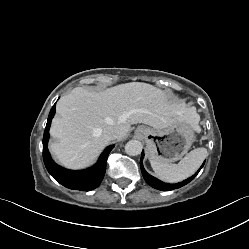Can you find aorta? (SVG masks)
<instances>
[{"instance_id":"obj_1","label":"aorta","mask_w":249,"mask_h":249,"mask_svg":"<svg viewBox=\"0 0 249 249\" xmlns=\"http://www.w3.org/2000/svg\"><path fill=\"white\" fill-rule=\"evenodd\" d=\"M142 143L138 140H130L125 145V152L130 156H137L142 152Z\"/></svg>"}]
</instances>
